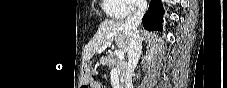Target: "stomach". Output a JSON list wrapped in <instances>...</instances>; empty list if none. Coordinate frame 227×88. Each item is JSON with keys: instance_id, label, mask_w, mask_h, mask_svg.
I'll return each mask as SVG.
<instances>
[{"instance_id": "1", "label": "stomach", "mask_w": 227, "mask_h": 88, "mask_svg": "<svg viewBox=\"0 0 227 88\" xmlns=\"http://www.w3.org/2000/svg\"><path fill=\"white\" fill-rule=\"evenodd\" d=\"M101 63H104V60L103 59H101Z\"/></svg>"}]
</instances>
